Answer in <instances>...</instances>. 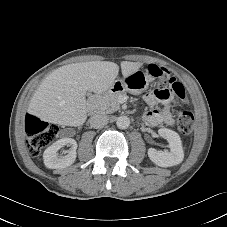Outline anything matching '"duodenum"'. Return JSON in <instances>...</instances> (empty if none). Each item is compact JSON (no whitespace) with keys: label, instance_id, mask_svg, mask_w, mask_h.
Returning a JSON list of instances; mask_svg holds the SVG:
<instances>
[{"label":"duodenum","instance_id":"410a0bca","mask_svg":"<svg viewBox=\"0 0 227 227\" xmlns=\"http://www.w3.org/2000/svg\"><path fill=\"white\" fill-rule=\"evenodd\" d=\"M120 90V86L119 85H113L110 89V91L112 92H117ZM102 93H96L94 95H92L88 101V109L89 111H94L96 109L97 103L99 101V99L101 98Z\"/></svg>","mask_w":227,"mask_h":227}]
</instances>
